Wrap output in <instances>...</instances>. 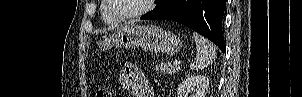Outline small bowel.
I'll list each match as a JSON object with an SVG mask.
<instances>
[{
  "label": "small bowel",
  "mask_w": 302,
  "mask_h": 97,
  "mask_svg": "<svg viewBox=\"0 0 302 97\" xmlns=\"http://www.w3.org/2000/svg\"><path fill=\"white\" fill-rule=\"evenodd\" d=\"M120 85L136 97H152L149 83L142 72L133 65H125L119 74Z\"/></svg>",
  "instance_id": "1"
}]
</instances>
